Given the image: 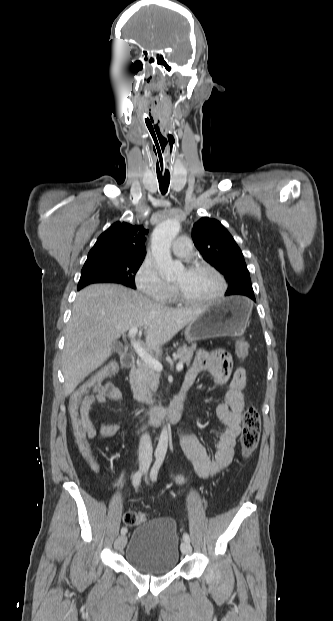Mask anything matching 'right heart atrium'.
Listing matches in <instances>:
<instances>
[{"instance_id":"1","label":"right heart atrium","mask_w":333,"mask_h":621,"mask_svg":"<svg viewBox=\"0 0 333 621\" xmlns=\"http://www.w3.org/2000/svg\"><path fill=\"white\" fill-rule=\"evenodd\" d=\"M135 284L140 292L156 302L164 303L172 294V286L161 278L156 267L148 261H144L137 270Z\"/></svg>"}]
</instances>
